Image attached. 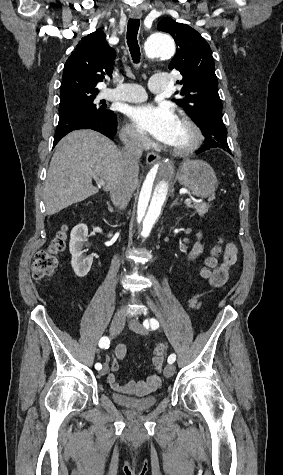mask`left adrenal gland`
I'll list each match as a JSON object with an SVG mask.
<instances>
[{
  "label": "left adrenal gland",
  "mask_w": 283,
  "mask_h": 475,
  "mask_svg": "<svg viewBox=\"0 0 283 475\" xmlns=\"http://www.w3.org/2000/svg\"><path fill=\"white\" fill-rule=\"evenodd\" d=\"M173 206H180L179 202H178V198H176V200H174L173 204H171L170 208H173Z\"/></svg>",
  "instance_id": "left-adrenal-gland-1"
}]
</instances>
